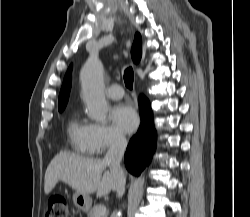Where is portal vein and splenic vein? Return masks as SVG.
<instances>
[{"label": "portal vein and splenic vein", "mask_w": 250, "mask_h": 217, "mask_svg": "<svg viewBox=\"0 0 250 217\" xmlns=\"http://www.w3.org/2000/svg\"><path fill=\"white\" fill-rule=\"evenodd\" d=\"M106 206L102 205L100 206L96 211V217H100L101 215L106 213Z\"/></svg>", "instance_id": "18ae733b"}]
</instances>
